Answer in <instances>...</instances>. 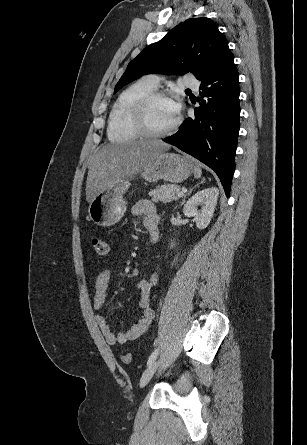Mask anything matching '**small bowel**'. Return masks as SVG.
<instances>
[{"label":"small bowel","instance_id":"1","mask_svg":"<svg viewBox=\"0 0 307 445\" xmlns=\"http://www.w3.org/2000/svg\"><path fill=\"white\" fill-rule=\"evenodd\" d=\"M136 216L144 217V226L150 235V241L155 243L159 237L160 216L149 200H140L132 208ZM159 274L155 270L149 280L138 282L140 318L126 331L114 333L107 319L102 315L96 316V322L109 345L125 344L143 335L151 326L154 319V311L150 306V291L158 283ZM111 282L110 268H104L99 272L95 282V295L93 306L96 311L102 309L105 304L109 285Z\"/></svg>","mask_w":307,"mask_h":445}]
</instances>
